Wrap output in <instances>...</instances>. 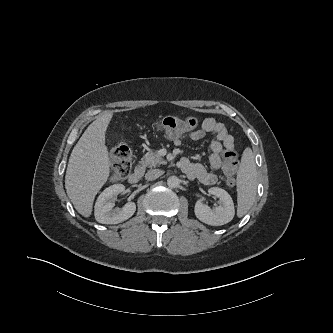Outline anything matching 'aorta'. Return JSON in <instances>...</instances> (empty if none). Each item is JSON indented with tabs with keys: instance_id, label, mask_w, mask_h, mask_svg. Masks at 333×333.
I'll list each match as a JSON object with an SVG mask.
<instances>
[{
	"instance_id": "762f6f07",
	"label": "aorta",
	"mask_w": 333,
	"mask_h": 333,
	"mask_svg": "<svg viewBox=\"0 0 333 333\" xmlns=\"http://www.w3.org/2000/svg\"><path fill=\"white\" fill-rule=\"evenodd\" d=\"M180 184V180L177 176H170L168 179H167V185L170 187V188H177Z\"/></svg>"
}]
</instances>
